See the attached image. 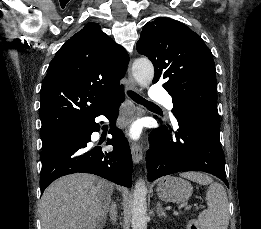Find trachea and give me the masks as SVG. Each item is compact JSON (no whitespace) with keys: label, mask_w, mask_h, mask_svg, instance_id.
Returning a JSON list of instances; mask_svg holds the SVG:
<instances>
[{"label":"trachea","mask_w":261,"mask_h":229,"mask_svg":"<svg viewBox=\"0 0 261 229\" xmlns=\"http://www.w3.org/2000/svg\"><path fill=\"white\" fill-rule=\"evenodd\" d=\"M128 95L138 104H152V102H148L147 100L137 95L135 92H128Z\"/></svg>","instance_id":"1"}]
</instances>
